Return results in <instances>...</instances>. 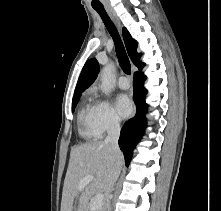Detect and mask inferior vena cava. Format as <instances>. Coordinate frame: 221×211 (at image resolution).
Wrapping results in <instances>:
<instances>
[{
    "label": "inferior vena cava",
    "instance_id": "inferior-vena-cava-1",
    "mask_svg": "<svg viewBox=\"0 0 221 211\" xmlns=\"http://www.w3.org/2000/svg\"><path fill=\"white\" fill-rule=\"evenodd\" d=\"M119 135H120V124L117 120H112L108 129V135L105 139V143L110 145V147L112 148L113 152L115 155H120L121 151L118 145V139H119ZM121 171V165L118 164L112 173V176L110 178L109 181V185H108V195H107V201H106V206H105V211H111V205H110V193L113 189L114 183L116 182L119 174Z\"/></svg>",
    "mask_w": 221,
    "mask_h": 211
}]
</instances>
